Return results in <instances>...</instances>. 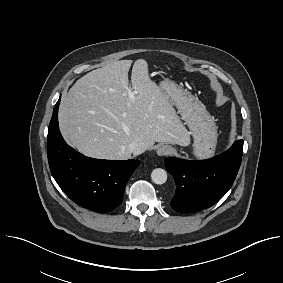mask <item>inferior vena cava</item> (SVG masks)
Wrapping results in <instances>:
<instances>
[{
	"label": "inferior vena cava",
	"instance_id": "inferior-vena-cava-1",
	"mask_svg": "<svg viewBox=\"0 0 283 283\" xmlns=\"http://www.w3.org/2000/svg\"><path fill=\"white\" fill-rule=\"evenodd\" d=\"M128 149L131 153L135 155H139L145 151L144 146H142L141 144L137 142H131L128 146Z\"/></svg>",
	"mask_w": 283,
	"mask_h": 283
}]
</instances>
